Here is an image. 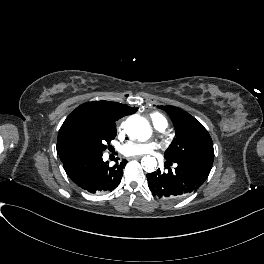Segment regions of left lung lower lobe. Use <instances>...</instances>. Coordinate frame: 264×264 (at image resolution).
<instances>
[{
  "instance_id": "0a47b994",
  "label": "left lung lower lobe",
  "mask_w": 264,
  "mask_h": 264,
  "mask_svg": "<svg viewBox=\"0 0 264 264\" xmlns=\"http://www.w3.org/2000/svg\"><path fill=\"white\" fill-rule=\"evenodd\" d=\"M147 180L150 191L159 198L179 197L186 193L182 189L169 184L154 172L147 174Z\"/></svg>"
}]
</instances>
